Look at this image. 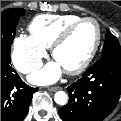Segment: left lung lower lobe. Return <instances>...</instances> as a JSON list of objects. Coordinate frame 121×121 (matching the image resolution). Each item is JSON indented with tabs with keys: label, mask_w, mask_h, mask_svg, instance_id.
<instances>
[{
	"label": "left lung lower lobe",
	"mask_w": 121,
	"mask_h": 121,
	"mask_svg": "<svg viewBox=\"0 0 121 121\" xmlns=\"http://www.w3.org/2000/svg\"><path fill=\"white\" fill-rule=\"evenodd\" d=\"M69 102L59 110L64 121H102L121 94V56L101 58L67 88Z\"/></svg>",
	"instance_id": "0a47b994"
}]
</instances>
